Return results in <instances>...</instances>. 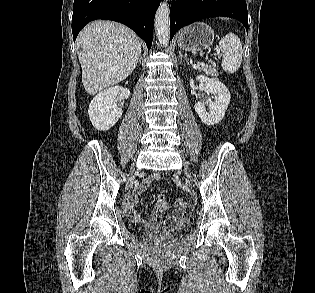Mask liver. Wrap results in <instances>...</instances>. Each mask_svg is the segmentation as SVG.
<instances>
[{
    "mask_svg": "<svg viewBox=\"0 0 315 293\" xmlns=\"http://www.w3.org/2000/svg\"><path fill=\"white\" fill-rule=\"evenodd\" d=\"M82 82L95 95L126 79L135 69L141 42L128 27L112 21H94L77 38Z\"/></svg>",
    "mask_w": 315,
    "mask_h": 293,
    "instance_id": "obj_1",
    "label": "liver"
}]
</instances>
